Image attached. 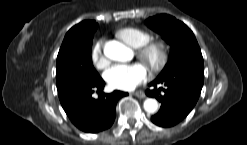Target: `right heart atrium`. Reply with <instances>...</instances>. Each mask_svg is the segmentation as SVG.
Segmentation results:
<instances>
[{"label": "right heart atrium", "mask_w": 247, "mask_h": 145, "mask_svg": "<svg viewBox=\"0 0 247 145\" xmlns=\"http://www.w3.org/2000/svg\"><path fill=\"white\" fill-rule=\"evenodd\" d=\"M90 59L98 69H104L108 65L109 60L103 52V40H98L94 43L90 51Z\"/></svg>", "instance_id": "d8ad5b80"}]
</instances>
